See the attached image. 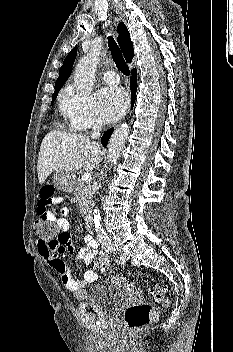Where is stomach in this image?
<instances>
[{
  "instance_id": "obj_1",
  "label": "stomach",
  "mask_w": 233,
  "mask_h": 352,
  "mask_svg": "<svg viewBox=\"0 0 233 352\" xmlns=\"http://www.w3.org/2000/svg\"><path fill=\"white\" fill-rule=\"evenodd\" d=\"M54 181L58 189L66 192H71L73 190V176L71 173L57 171L54 174Z\"/></svg>"
}]
</instances>
